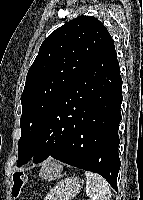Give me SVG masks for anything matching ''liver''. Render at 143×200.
<instances>
[{"mask_svg": "<svg viewBox=\"0 0 143 200\" xmlns=\"http://www.w3.org/2000/svg\"><path fill=\"white\" fill-rule=\"evenodd\" d=\"M50 163H46L44 166H43V169L41 170V176L44 178V179H48V178H53L54 176L51 175V171H45L44 169L47 168V166L49 165ZM60 173V169L57 170V173L55 175H58Z\"/></svg>", "mask_w": 143, "mask_h": 200, "instance_id": "obj_1", "label": "liver"}]
</instances>
